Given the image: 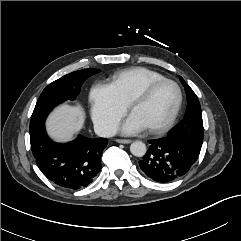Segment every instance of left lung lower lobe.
Instances as JSON below:
<instances>
[{
    "label": "left lung lower lobe",
    "instance_id": "left-lung-lower-lobe-1",
    "mask_svg": "<svg viewBox=\"0 0 241 241\" xmlns=\"http://www.w3.org/2000/svg\"><path fill=\"white\" fill-rule=\"evenodd\" d=\"M150 147L139 161L142 172L150 179L166 183L185 175L199 153L182 140L165 137L149 141Z\"/></svg>",
    "mask_w": 241,
    "mask_h": 241
}]
</instances>
